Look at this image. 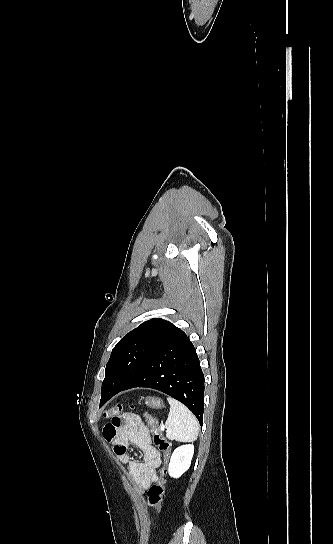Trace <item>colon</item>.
Here are the masks:
<instances>
[{
  "instance_id": "colon-1",
  "label": "colon",
  "mask_w": 333,
  "mask_h": 544,
  "mask_svg": "<svg viewBox=\"0 0 333 544\" xmlns=\"http://www.w3.org/2000/svg\"><path fill=\"white\" fill-rule=\"evenodd\" d=\"M123 407L121 405H114L104 412V417L115 418L121 414ZM145 420L150 428L153 437V443L157 449L163 454L165 462L168 461L171 453L172 444L163 436L159 421L156 417L150 414H144ZM166 468L165 466L160 468V476L158 480L148 489V504L153 507L157 514L160 515L162 511V504L164 500L166 480H165Z\"/></svg>"
}]
</instances>
